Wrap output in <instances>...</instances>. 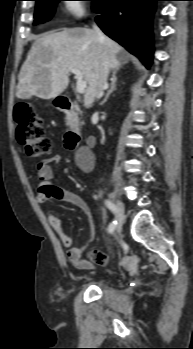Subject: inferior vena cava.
I'll return each instance as SVG.
<instances>
[{"label": "inferior vena cava", "mask_w": 193, "mask_h": 349, "mask_svg": "<svg viewBox=\"0 0 193 349\" xmlns=\"http://www.w3.org/2000/svg\"><path fill=\"white\" fill-rule=\"evenodd\" d=\"M95 32L97 33L100 41H102L104 43V51H103V57H102V80H101V84L99 86V89L96 93V98H100L103 95V91L108 87L107 84V76H108V72H109V58L106 54L105 51V42H106V38L103 35V33L100 31V29L94 25L93 26Z\"/></svg>", "instance_id": "602c4592"}]
</instances>
